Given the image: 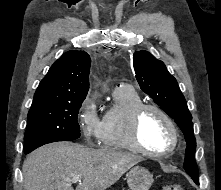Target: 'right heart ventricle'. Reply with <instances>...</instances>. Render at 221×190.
Masks as SVG:
<instances>
[{
  "mask_svg": "<svg viewBox=\"0 0 221 190\" xmlns=\"http://www.w3.org/2000/svg\"><path fill=\"white\" fill-rule=\"evenodd\" d=\"M114 105L101 119L100 142L102 147L114 150L138 152L129 138V121L132 111L143 104L139 93L128 84H120L113 90Z\"/></svg>",
  "mask_w": 221,
  "mask_h": 190,
  "instance_id": "obj_1",
  "label": "right heart ventricle"
}]
</instances>
